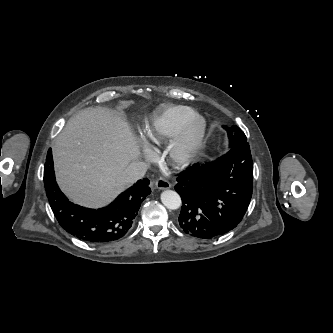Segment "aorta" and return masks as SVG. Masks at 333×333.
<instances>
[{
    "mask_svg": "<svg viewBox=\"0 0 333 333\" xmlns=\"http://www.w3.org/2000/svg\"><path fill=\"white\" fill-rule=\"evenodd\" d=\"M161 201L168 209H178L181 206L180 196L172 190H165L161 194Z\"/></svg>",
    "mask_w": 333,
    "mask_h": 333,
    "instance_id": "aorta-1",
    "label": "aorta"
}]
</instances>
